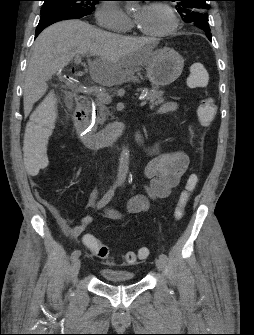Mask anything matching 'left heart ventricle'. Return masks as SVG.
Returning <instances> with one entry per match:
<instances>
[{
  "mask_svg": "<svg viewBox=\"0 0 254 335\" xmlns=\"http://www.w3.org/2000/svg\"><path fill=\"white\" fill-rule=\"evenodd\" d=\"M136 21L141 29L149 33L165 31L171 25L169 14L164 9L153 5L148 6L146 12Z\"/></svg>",
  "mask_w": 254,
  "mask_h": 335,
  "instance_id": "obj_1",
  "label": "left heart ventricle"
}]
</instances>
